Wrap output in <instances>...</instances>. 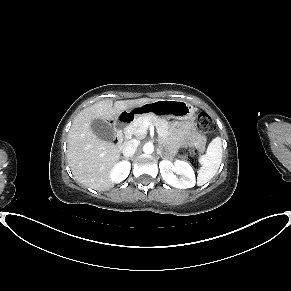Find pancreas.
Returning a JSON list of instances; mask_svg holds the SVG:
<instances>
[{"label":"pancreas","instance_id":"1","mask_svg":"<svg viewBox=\"0 0 291 291\" xmlns=\"http://www.w3.org/2000/svg\"><path fill=\"white\" fill-rule=\"evenodd\" d=\"M148 121L156 126L161 142L163 143L169 135L168 122L165 119L159 118L155 115H142L134 120L130 124L125 132L128 134L135 135L137 138H143L145 136L146 126L144 123Z\"/></svg>","mask_w":291,"mask_h":291}]
</instances>
